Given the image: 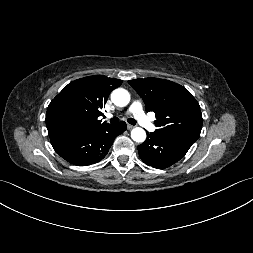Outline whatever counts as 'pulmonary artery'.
Returning <instances> with one entry per match:
<instances>
[{
	"label": "pulmonary artery",
	"instance_id": "1",
	"mask_svg": "<svg viewBox=\"0 0 253 253\" xmlns=\"http://www.w3.org/2000/svg\"><path fill=\"white\" fill-rule=\"evenodd\" d=\"M128 113L133 114L139 124L149 131H154L155 126L149 117L144 113L142 103L140 101H134L129 109Z\"/></svg>",
	"mask_w": 253,
	"mask_h": 253
}]
</instances>
